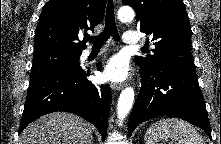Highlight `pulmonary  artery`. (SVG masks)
Masks as SVG:
<instances>
[{
  "label": "pulmonary artery",
  "mask_w": 221,
  "mask_h": 144,
  "mask_svg": "<svg viewBox=\"0 0 221 144\" xmlns=\"http://www.w3.org/2000/svg\"><path fill=\"white\" fill-rule=\"evenodd\" d=\"M123 40L128 45H138L140 43L139 36L134 31H127L124 33ZM90 54V50H85L83 52V57H87Z\"/></svg>",
  "instance_id": "e3ab8cb5"
}]
</instances>
